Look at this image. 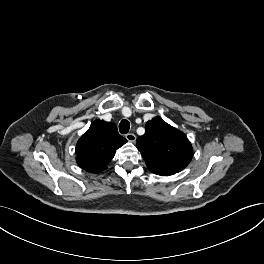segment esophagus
Instances as JSON below:
<instances>
[{"mask_svg": "<svg viewBox=\"0 0 264 264\" xmlns=\"http://www.w3.org/2000/svg\"><path fill=\"white\" fill-rule=\"evenodd\" d=\"M125 137L129 142H134L136 140V136L133 133H128Z\"/></svg>", "mask_w": 264, "mask_h": 264, "instance_id": "1", "label": "esophagus"}]
</instances>
